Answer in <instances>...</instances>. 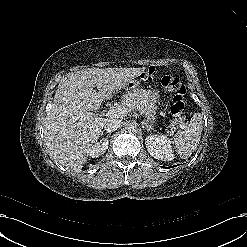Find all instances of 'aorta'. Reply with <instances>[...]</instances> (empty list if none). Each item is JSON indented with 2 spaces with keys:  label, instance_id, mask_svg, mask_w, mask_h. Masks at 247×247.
<instances>
[{
  "label": "aorta",
  "instance_id": "aorta-1",
  "mask_svg": "<svg viewBox=\"0 0 247 247\" xmlns=\"http://www.w3.org/2000/svg\"><path fill=\"white\" fill-rule=\"evenodd\" d=\"M138 123L136 121H133V122H129L127 125H126V130L128 132H132V133H136L138 131Z\"/></svg>",
  "mask_w": 247,
  "mask_h": 247
}]
</instances>
